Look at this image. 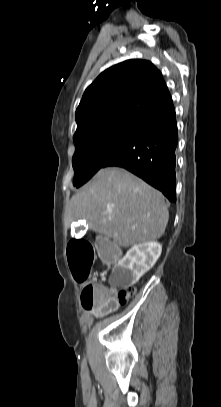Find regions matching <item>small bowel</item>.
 Returning a JSON list of instances; mask_svg holds the SVG:
<instances>
[{
    "label": "small bowel",
    "mask_w": 221,
    "mask_h": 407,
    "mask_svg": "<svg viewBox=\"0 0 221 407\" xmlns=\"http://www.w3.org/2000/svg\"><path fill=\"white\" fill-rule=\"evenodd\" d=\"M95 312V311H94ZM95 314H97V315H101V314H99V313H97V312H95Z\"/></svg>",
    "instance_id": "small-bowel-1"
}]
</instances>
